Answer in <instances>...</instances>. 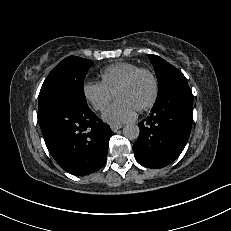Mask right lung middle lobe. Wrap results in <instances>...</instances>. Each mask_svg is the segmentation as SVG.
Returning a JSON list of instances; mask_svg holds the SVG:
<instances>
[{"instance_id": "right-lung-middle-lobe-1", "label": "right lung middle lobe", "mask_w": 231, "mask_h": 231, "mask_svg": "<svg viewBox=\"0 0 231 231\" xmlns=\"http://www.w3.org/2000/svg\"><path fill=\"white\" fill-rule=\"evenodd\" d=\"M92 65V61L77 56H69L62 60L53 68L41 87L38 111L63 99L87 104L83 82Z\"/></svg>"}]
</instances>
